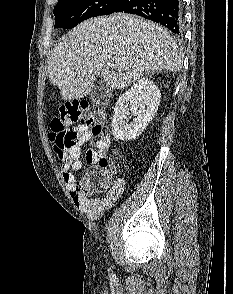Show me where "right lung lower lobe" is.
Listing matches in <instances>:
<instances>
[{
  "instance_id": "98d812e1",
  "label": "right lung lower lobe",
  "mask_w": 233,
  "mask_h": 294,
  "mask_svg": "<svg viewBox=\"0 0 233 294\" xmlns=\"http://www.w3.org/2000/svg\"><path fill=\"white\" fill-rule=\"evenodd\" d=\"M114 12L132 13L160 23L182 37L181 0H123Z\"/></svg>"
}]
</instances>
